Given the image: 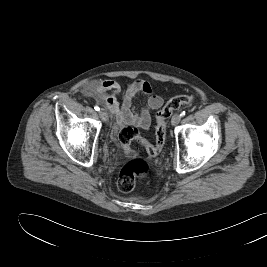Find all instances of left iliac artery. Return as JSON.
I'll return each mask as SVG.
<instances>
[{
    "instance_id": "1",
    "label": "left iliac artery",
    "mask_w": 267,
    "mask_h": 267,
    "mask_svg": "<svg viewBox=\"0 0 267 267\" xmlns=\"http://www.w3.org/2000/svg\"><path fill=\"white\" fill-rule=\"evenodd\" d=\"M181 117H184L185 116V111H183L181 114H180Z\"/></svg>"
}]
</instances>
